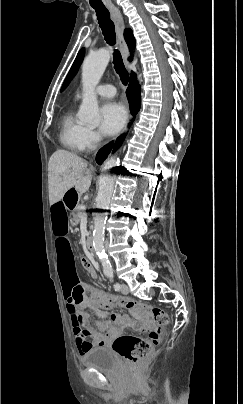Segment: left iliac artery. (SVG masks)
Listing matches in <instances>:
<instances>
[{
    "label": "left iliac artery",
    "mask_w": 243,
    "mask_h": 404,
    "mask_svg": "<svg viewBox=\"0 0 243 404\" xmlns=\"http://www.w3.org/2000/svg\"><path fill=\"white\" fill-rule=\"evenodd\" d=\"M107 277H108L110 280H113V279H114L113 272L107 273ZM121 288H122V286H121L119 283H115V284H114V289H115L116 291H119Z\"/></svg>",
    "instance_id": "1"
}]
</instances>
